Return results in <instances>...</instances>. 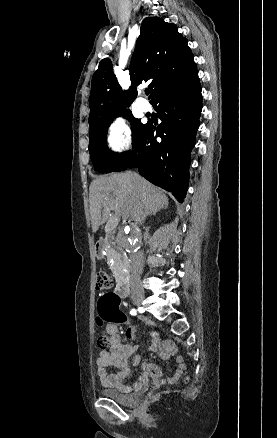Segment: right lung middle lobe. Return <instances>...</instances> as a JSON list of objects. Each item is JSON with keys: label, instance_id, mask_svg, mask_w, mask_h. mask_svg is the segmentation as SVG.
<instances>
[{"label": "right lung middle lobe", "instance_id": "1", "mask_svg": "<svg viewBox=\"0 0 277 438\" xmlns=\"http://www.w3.org/2000/svg\"><path fill=\"white\" fill-rule=\"evenodd\" d=\"M127 118L132 127V148L141 135L145 124L136 119L132 114L123 115ZM114 118L107 122L90 124L89 133V152L95 170L102 173L113 172L131 153V151L116 154L109 150L107 146L106 134L110 123Z\"/></svg>", "mask_w": 277, "mask_h": 438}]
</instances>
